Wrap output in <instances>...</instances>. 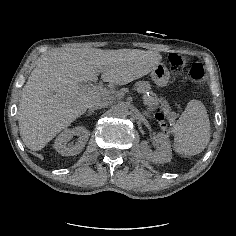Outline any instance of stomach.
Here are the masks:
<instances>
[{
    "label": "stomach",
    "instance_id": "obj_1",
    "mask_svg": "<svg viewBox=\"0 0 236 236\" xmlns=\"http://www.w3.org/2000/svg\"><path fill=\"white\" fill-rule=\"evenodd\" d=\"M170 74L165 65L159 64L151 73V78L158 86H165L168 83Z\"/></svg>",
    "mask_w": 236,
    "mask_h": 236
}]
</instances>
